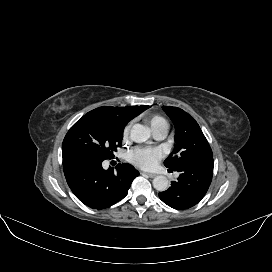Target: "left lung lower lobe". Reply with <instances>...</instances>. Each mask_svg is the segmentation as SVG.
<instances>
[{
  "label": "left lung lower lobe",
  "mask_w": 272,
  "mask_h": 272,
  "mask_svg": "<svg viewBox=\"0 0 272 272\" xmlns=\"http://www.w3.org/2000/svg\"><path fill=\"white\" fill-rule=\"evenodd\" d=\"M213 158L183 164L171 187L159 193L160 199L172 208L184 210L193 207L206 194L213 175Z\"/></svg>",
  "instance_id": "1"
}]
</instances>
